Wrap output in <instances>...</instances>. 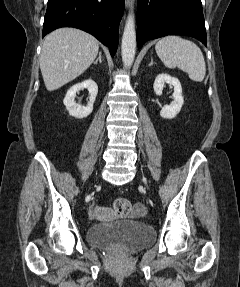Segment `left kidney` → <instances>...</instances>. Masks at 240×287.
Masks as SVG:
<instances>
[{
	"label": "left kidney",
	"instance_id": "obj_1",
	"mask_svg": "<svg viewBox=\"0 0 240 287\" xmlns=\"http://www.w3.org/2000/svg\"><path fill=\"white\" fill-rule=\"evenodd\" d=\"M165 83L174 87V100L170 105H165L162 107L160 111V116L165 119H172L180 112L184 103V98L182 96V87L177 78L171 77L166 73H161L156 77L153 85L154 92L156 95L160 96L162 94V90Z\"/></svg>",
	"mask_w": 240,
	"mask_h": 287
}]
</instances>
